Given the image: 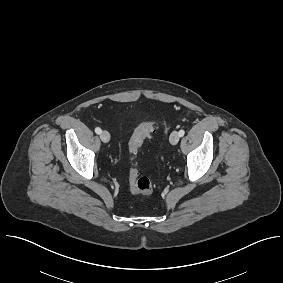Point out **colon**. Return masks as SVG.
Masks as SVG:
<instances>
[{
    "mask_svg": "<svg viewBox=\"0 0 283 283\" xmlns=\"http://www.w3.org/2000/svg\"><path fill=\"white\" fill-rule=\"evenodd\" d=\"M157 128L155 121L149 120L142 123L133 133L129 144L128 152L131 162L129 169V186L133 193L149 196L153 193L152 182L147 177H140L137 168L135 167V156L139 148L143 145L146 138H148Z\"/></svg>",
    "mask_w": 283,
    "mask_h": 283,
    "instance_id": "1",
    "label": "colon"
}]
</instances>
